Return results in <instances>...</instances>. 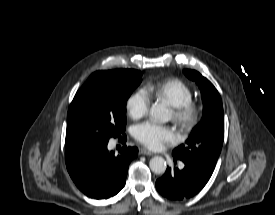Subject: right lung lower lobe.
I'll return each mask as SVG.
<instances>
[{
	"mask_svg": "<svg viewBox=\"0 0 275 215\" xmlns=\"http://www.w3.org/2000/svg\"><path fill=\"white\" fill-rule=\"evenodd\" d=\"M107 144L93 140L65 144L67 170L79 190L91 198L116 195L125 185L130 162L137 157L136 147L124 146L115 156Z\"/></svg>",
	"mask_w": 275,
	"mask_h": 215,
	"instance_id": "1",
	"label": "right lung lower lobe"
}]
</instances>
